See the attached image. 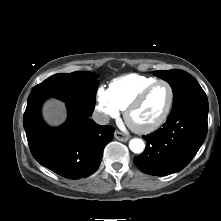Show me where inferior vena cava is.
<instances>
[{
  "mask_svg": "<svg viewBox=\"0 0 221 221\" xmlns=\"http://www.w3.org/2000/svg\"><path fill=\"white\" fill-rule=\"evenodd\" d=\"M92 119L100 125H106L109 123V116L103 112L95 111L92 115Z\"/></svg>",
  "mask_w": 221,
  "mask_h": 221,
  "instance_id": "602c4592",
  "label": "inferior vena cava"
}]
</instances>
